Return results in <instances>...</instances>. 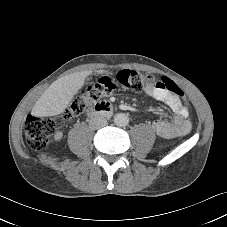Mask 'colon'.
Wrapping results in <instances>:
<instances>
[{
	"instance_id": "1",
	"label": "colon",
	"mask_w": 227,
	"mask_h": 227,
	"mask_svg": "<svg viewBox=\"0 0 227 227\" xmlns=\"http://www.w3.org/2000/svg\"><path fill=\"white\" fill-rule=\"evenodd\" d=\"M156 82L166 85L172 93L183 96L182 90L167 78L158 79L151 74L135 70H120L115 77L103 76L94 84L82 90L71 105L64 111L63 118L68 120L84 112L100 99L112 95L119 87L140 91L155 87ZM56 131V123L52 119H41L28 116L25 122V134L28 145L34 150L43 149Z\"/></svg>"
}]
</instances>
